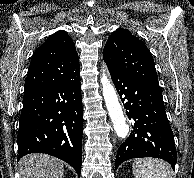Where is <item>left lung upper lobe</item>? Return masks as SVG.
Wrapping results in <instances>:
<instances>
[{
  "mask_svg": "<svg viewBox=\"0 0 194 178\" xmlns=\"http://www.w3.org/2000/svg\"><path fill=\"white\" fill-rule=\"evenodd\" d=\"M103 58L110 70L159 86L149 49L130 31L123 28L114 31L106 42Z\"/></svg>",
  "mask_w": 194,
  "mask_h": 178,
  "instance_id": "5c2ea615",
  "label": "left lung upper lobe"
}]
</instances>
